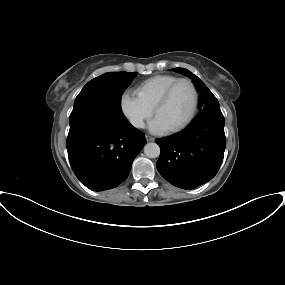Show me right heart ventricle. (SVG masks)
I'll return each mask as SVG.
<instances>
[{
  "label": "right heart ventricle",
  "mask_w": 285,
  "mask_h": 285,
  "mask_svg": "<svg viewBox=\"0 0 285 285\" xmlns=\"http://www.w3.org/2000/svg\"><path fill=\"white\" fill-rule=\"evenodd\" d=\"M177 79L179 77L172 74L153 76L136 87V94L147 106L153 109L165 90Z\"/></svg>",
  "instance_id": "1"
}]
</instances>
